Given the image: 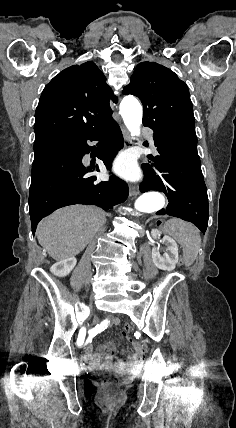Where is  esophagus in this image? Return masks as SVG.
<instances>
[{
  "mask_svg": "<svg viewBox=\"0 0 236 428\" xmlns=\"http://www.w3.org/2000/svg\"><path fill=\"white\" fill-rule=\"evenodd\" d=\"M122 128V133H123V137L125 140V145H129L132 143V138L129 135V133L127 132L126 128L124 126L121 127ZM139 190H138V186L136 184H131L129 187V195L134 197L136 195H138Z\"/></svg>",
  "mask_w": 236,
  "mask_h": 428,
  "instance_id": "34e87169",
  "label": "esophagus"
}]
</instances>
